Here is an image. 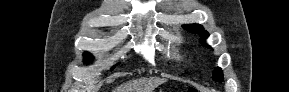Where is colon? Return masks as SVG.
I'll return each instance as SVG.
<instances>
[{
	"mask_svg": "<svg viewBox=\"0 0 289 92\" xmlns=\"http://www.w3.org/2000/svg\"><path fill=\"white\" fill-rule=\"evenodd\" d=\"M187 92H198V91H197V89H195V88H189V89L187 90Z\"/></svg>",
	"mask_w": 289,
	"mask_h": 92,
	"instance_id": "colon-1",
	"label": "colon"
}]
</instances>
